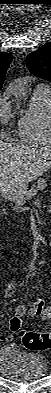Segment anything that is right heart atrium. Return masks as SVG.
<instances>
[{
  "label": "right heart atrium",
  "instance_id": "1",
  "mask_svg": "<svg viewBox=\"0 0 51 393\" xmlns=\"http://www.w3.org/2000/svg\"><path fill=\"white\" fill-rule=\"evenodd\" d=\"M9 117H10V112L8 110V107L5 105L0 110V119L2 122H6L8 121Z\"/></svg>",
  "mask_w": 51,
  "mask_h": 393
}]
</instances>
